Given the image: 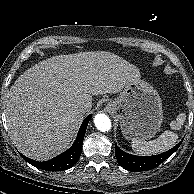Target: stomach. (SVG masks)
Segmentation results:
<instances>
[{"instance_id": "1", "label": "stomach", "mask_w": 194, "mask_h": 194, "mask_svg": "<svg viewBox=\"0 0 194 194\" xmlns=\"http://www.w3.org/2000/svg\"><path fill=\"white\" fill-rule=\"evenodd\" d=\"M106 109L119 120L121 132L127 139L154 137L163 120L158 92L140 78L128 83L119 97L108 101Z\"/></svg>"}]
</instances>
